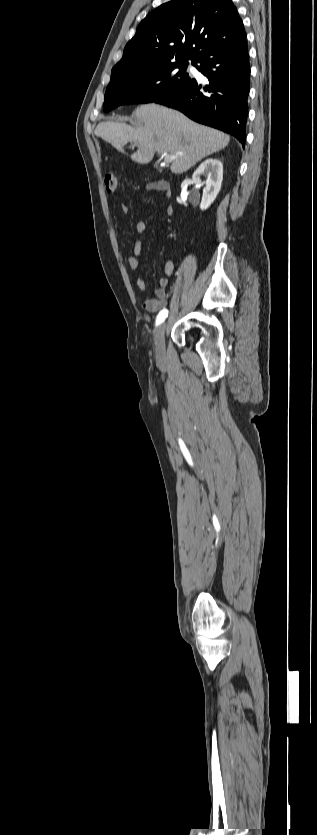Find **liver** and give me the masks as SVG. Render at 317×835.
<instances>
[{"instance_id":"1","label":"liver","mask_w":317,"mask_h":835,"mask_svg":"<svg viewBox=\"0 0 317 835\" xmlns=\"http://www.w3.org/2000/svg\"><path fill=\"white\" fill-rule=\"evenodd\" d=\"M133 116L140 125L104 121L97 125L95 135L122 153L124 146L133 142L138 149L131 160L136 163H149L155 153L175 155L170 167L175 174L186 172L201 159L224 149L230 141L227 134L155 103L137 107Z\"/></svg>"}]
</instances>
